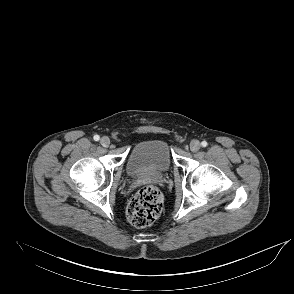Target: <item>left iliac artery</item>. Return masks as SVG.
<instances>
[{
  "mask_svg": "<svg viewBox=\"0 0 294 294\" xmlns=\"http://www.w3.org/2000/svg\"><path fill=\"white\" fill-rule=\"evenodd\" d=\"M201 145H202L203 147H206V146L208 145V143H207L206 141H202V142H201Z\"/></svg>",
  "mask_w": 294,
  "mask_h": 294,
  "instance_id": "1",
  "label": "left iliac artery"
}]
</instances>
